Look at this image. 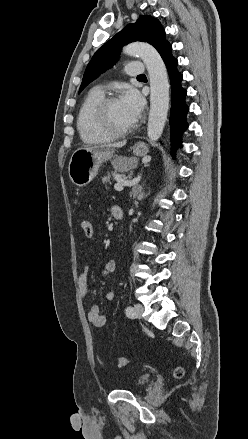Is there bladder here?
Instances as JSON below:
<instances>
[{
	"mask_svg": "<svg viewBox=\"0 0 248 439\" xmlns=\"http://www.w3.org/2000/svg\"><path fill=\"white\" fill-rule=\"evenodd\" d=\"M149 379H150V376L148 374H141L135 379V381L131 385V388H133V389L139 388V387L145 385L146 383H148Z\"/></svg>",
	"mask_w": 248,
	"mask_h": 439,
	"instance_id": "31cf9c89",
	"label": "bladder"
}]
</instances>
